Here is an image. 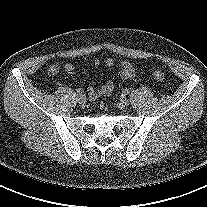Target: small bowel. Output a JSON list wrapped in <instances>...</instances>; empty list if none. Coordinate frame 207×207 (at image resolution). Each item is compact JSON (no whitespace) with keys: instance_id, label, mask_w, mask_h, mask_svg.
<instances>
[{"instance_id":"small-bowel-1","label":"small bowel","mask_w":207,"mask_h":207,"mask_svg":"<svg viewBox=\"0 0 207 207\" xmlns=\"http://www.w3.org/2000/svg\"><path fill=\"white\" fill-rule=\"evenodd\" d=\"M93 64H94V66H98L100 64V61L98 59H95ZM114 64H115V61L112 58H108L105 60V65L109 68L113 67ZM59 70H60V66L58 64H53L49 68V71L52 72L51 73L52 75L58 73ZM64 70L68 74H73L75 72L74 66L70 63H67L64 65ZM119 75L125 79L134 78L136 75V69H135L134 65L132 64V62H130L128 60L122 61L120 63ZM113 89H114V81L110 80L99 88L89 87L87 89V93L91 99H96L100 96L110 94L113 91Z\"/></svg>"}]
</instances>
